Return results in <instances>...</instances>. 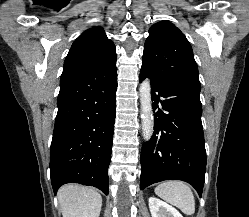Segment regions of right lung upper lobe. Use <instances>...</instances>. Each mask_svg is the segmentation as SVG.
Instances as JSON below:
<instances>
[{"instance_id":"cb5924a9","label":"right lung upper lobe","mask_w":249,"mask_h":217,"mask_svg":"<svg viewBox=\"0 0 249 217\" xmlns=\"http://www.w3.org/2000/svg\"><path fill=\"white\" fill-rule=\"evenodd\" d=\"M116 59V48L102 27L84 31L72 44L63 72L97 69Z\"/></svg>"}]
</instances>
